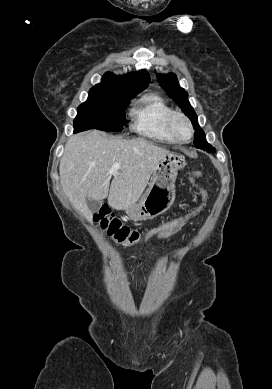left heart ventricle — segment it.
Wrapping results in <instances>:
<instances>
[{"label": "left heart ventricle", "mask_w": 272, "mask_h": 389, "mask_svg": "<svg viewBox=\"0 0 272 389\" xmlns=\"http://www.w3.org/2000/svg\"><path fill=\"white\" fill-rule=\"evenodd\" d=\"M175 129H176L177 134L180 137L187 138L189 136L188 126H187V124L183 120L178 119L175 122Z\"/></svg>", "instance_id": "left-heart-ventricle-1"}]
</instances>
